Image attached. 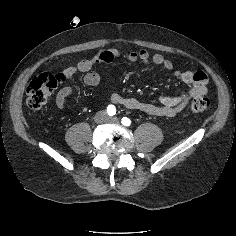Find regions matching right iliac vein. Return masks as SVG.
<instances>
[{
  "label": "right iliac vein",
  "instance_id": "63e3f726",
  "mask_svg": "<svg viewBox=\"0 0 236 236\" xmlns=\"http://www.w3.org/2000/svg\"><path fill=\"white\" fill-rule=\"evenodd\" d=\"M96 119L98 121H103L105 119V113L104 112H101L97 115Z\"/></svg>",
  "mask_w": 236,
  "mask_h": 236
}]
</instances>
